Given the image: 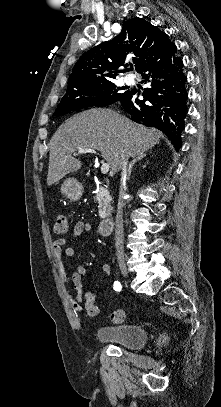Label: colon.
<instances>
[{
    "label": "colon",
    "mask_w": 221,
    "mask_h": 407,
    "mask_svg": "<svg viewBox=\"0 0 221 407\" xmlns=\"http://www.w3.org/2000/svg\"><path fill=\"white\" fill-rule=\"evenodd\" d=\"M55 232L57 234H65L67 232V219L64 216H58L55 223ZM85 308L89 315L95 316L97 314V307L95 304V296L93 293H88L84 300ZM110 319L114 323H123L126 320L124 310H115L111 313Z\"/></svg>",
    "instance_id": "colon-1"
}]
</instances>
